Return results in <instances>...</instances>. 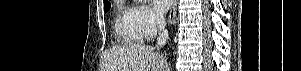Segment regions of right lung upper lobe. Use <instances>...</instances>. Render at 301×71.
<instances>
[{"instance_id":"cb5924a9","label":"right lung upper lobe","mask_w":301,"mask_h":71,"mask_svg":"<svg viewBox=\"0 0 301 71\" xmlns=\"http://www.w3.org/2000/svg\"><path fill=\"white\" fill-rule=\"evenodd\" d=\"M109 2L107 0H104V5L108 4Z\"/></svg>"}]
</instances>
